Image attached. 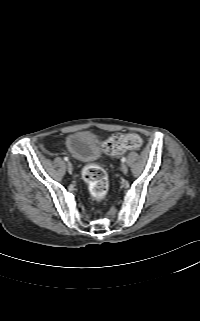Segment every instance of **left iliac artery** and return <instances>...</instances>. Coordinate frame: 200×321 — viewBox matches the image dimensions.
I'll return each mask as SVG.
<instances>
[{"mask_svg":"<svg viewBox=\"0 0 200 321\" xmlns=\"http://www.w3.org/2000/svg\"><path fill=\"white\" fill-rule=\"evenodd\" d=\"M121 161L124 163L126 162V158L125 157H122Z\"/></svg>","mask_w":200,"mask_h":321,"instance_id":"44dca946","label":"left iliac artery"}]
</instances>
